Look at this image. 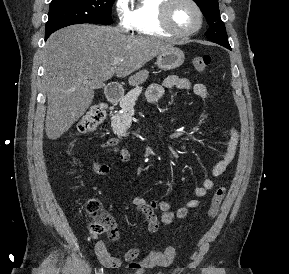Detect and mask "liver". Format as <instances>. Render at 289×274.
Instances as JSON below:
<instances>
[{
	"label": "liver",
	"mask_w": 289,
	"mask_h": 274,
	"mask_svg": "<svg viewBox=\"0 0 289 274\" xmlns=\"http://www.w3.org/2000/svg\"><path fill=\"white\" fill-rule=\"evenodd\" d=\"M173 48L171 43L125 35L115 27L72 25L53 33L44 48L47 92L46 135L58 139L85 114L94 98L95 81L131 75L147 62ZM142 70L131 85L146 80Z\"/></svg>",
	"instance_id": "6515ba94"
}]
</instances>
